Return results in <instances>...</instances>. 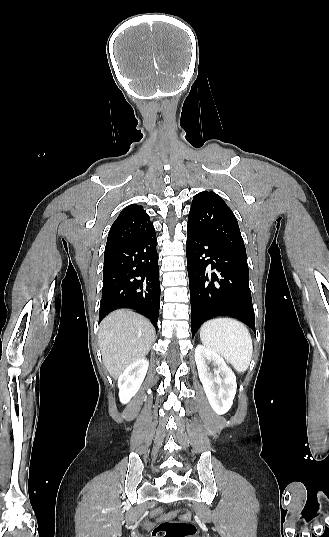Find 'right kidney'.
<instances>
[{
  "mask_svg": "<svg viewBox=\"0 0 329 537\" xmlns=\"http://www.w3.org/2000/svg\"><path fill=\"white\" fill-rule=\"evenodd\" d=\"M149 363L141 358L125 368L118 378L119 397L121 403H128L138 392L145 378Z\"/></svg>",
  "mask_w": 329,
  "mask_h": 537,
  "instance_id": "1",
  "label": "right kidney"
}]
</instances>
